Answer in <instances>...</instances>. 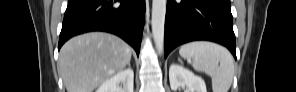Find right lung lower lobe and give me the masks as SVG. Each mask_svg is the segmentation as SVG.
<instances>
[{
  "label": "right lung lower lobe",
  "instance_id": "obj_1",
  "mask_svg": "<svg viewBox=\"0 0 296 92\" xmlns=\"http://www.w3.org/2000/svg\"><path fill=\"white\" fill-rule=\"evenodd\" d=\"M145 0H68L58 49L69 38L90 31L118 35L139 55Z\"/></svg>",
  "mask_w": 296,
  "mask_h": 92
}]
</instances>
